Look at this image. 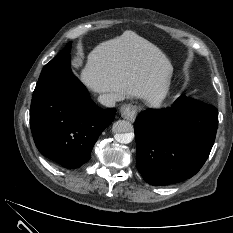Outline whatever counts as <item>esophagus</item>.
Returning <instances> with one entry per match:
<instances>
[{"label": "esophagus", "mask_w": 233, "mask_h": 233, "mask_svg": "<svg viewBox=\"0 0 233 233\" xmlns=\"http://www.w3.org/2000/svg\"><path fill=\"white\" fill-rule=\"evenodd\" d=\"M121 116L129 121H134L137 114V106L133 104H123L120 108Z\"/></svg>", "instance_id": "34e87169"}]
</instances>
